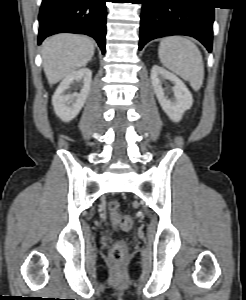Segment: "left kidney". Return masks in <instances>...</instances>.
<instances>
[{"label": "left kidney", "mask_w": 246, "mask_h": 300, "mask_svg": "<svg viewBox=\"0 0 246 300\" xmlns=\"http://www.w3.org/2000/svg\"><path fill=\"white\" fill-rule=\"evenodd\" d=\"M166 80L174 84L172 91L174 97L168 99L166 96V89L163 84ZM151 83L154 93L168 117L174 121L179 122L185 111L190 109L193 104L192 94L175 74L163 69L158 65H154L151 70Z\"/></svg>", "instance_id": "obj_1"}]
</instances>
